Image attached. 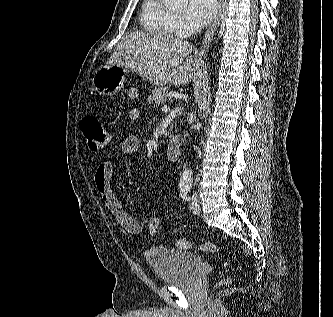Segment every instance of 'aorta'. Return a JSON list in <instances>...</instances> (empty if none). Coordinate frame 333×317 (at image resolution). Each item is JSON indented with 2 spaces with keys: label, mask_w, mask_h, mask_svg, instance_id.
<instances>
[{
  "label": "aorta",
  "mask_w": 333,
  "mask_h": 317,
  "mask_svg": "<svg viewBox=\"0 0 333 317\" xmlns=\"http://www.w3.org/2000/svg\"><path fill=\"white\" fill-rule=\"evenodd\" d=\"M166 6L170 8H180L187 4L188 0H164ZM192 182V169L186 167L181 175L180 183L181 184H191Z\"/></svg>",
  "instance_id": "aorta-1"
}]
</instances>
